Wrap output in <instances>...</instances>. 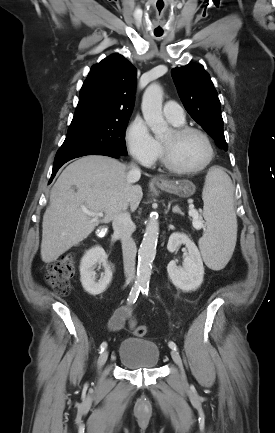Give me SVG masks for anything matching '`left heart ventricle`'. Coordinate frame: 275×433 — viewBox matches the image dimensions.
<instances>
[{
    "label": "left heart ventricle",
    "instance_id": "1",
    "mask_svg": "<svg viewBox=\"0 0 275 433\" xmlns=\"http://www.w3.org/2000/svg\"><path fill=\"white\" fill-rule=\"evenodd\" d=\"M161 140L170 150L173 161L180 167H198L209 156V148L205 139L197 133L175 138L170 130Z\"/></svg>",
    "mask_w": 275,
    "mask_h": 433
}]
</instances>
